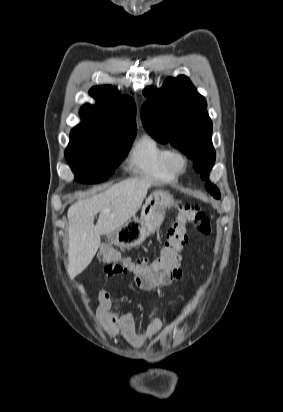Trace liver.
<instances>
[{
    "label": "liver",
    "mask_w": 283,
    "mask_h": 412,
    "mask_svg": "<svg viewBox=\"0 0 283 412\" xmlns=\"http://www.w3.org/2000/svg\"><path fill=\"white\" fill-rule=\"evenodd\" d=\"M153 184L147 178L127 179L69 207L67 272L71 279L91 263L100 246L101 235L118 230L138 212ZM105 209H111V212L104 213ZM97 213L99 218L94 225Z\"/></svg>",
    "instance_id": "6515ba94"
}]
</instances>
